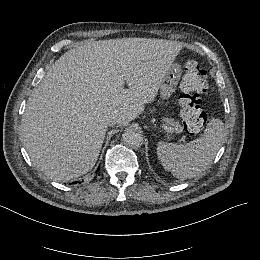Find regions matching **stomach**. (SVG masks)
Masks as SVG:
<instances>
[{"label":"stomach","instance_id":"obj_1","mask_svg":"<svg viewBox=\"0 0 260 260\" xmlns=\"http://www.w3.org/2000/svg\"><path fill=\"white\" fill-rule=\"evenodd\" d=\"M181 74L182 72L180 68H170L166 73L160 86V97L162 99L169 98L175 92Z\"/></svg>","mask_w":260,"mask_h":260}]
</instances>
